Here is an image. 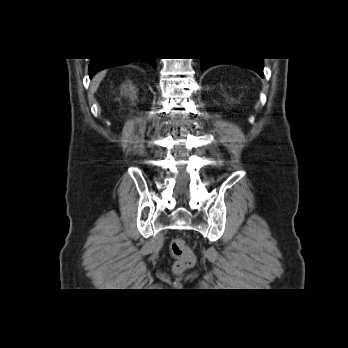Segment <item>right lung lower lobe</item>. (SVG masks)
<instances>
[{
  "label": "right lung lower lobe",
  "instance_id": "98d812e1",
  "mask_svg": "<svg viewBox=\"0 0 348 348\" xmlns=\"http://www.w3.org/2000/svg\"><path fill=\"white\" fill-rule=\"evenodd\" d=\"M146 60L151 66L156 68V59L155 58H149L144 59ZM133 60L131 59H91L89 64V75L90 78L93 77L94 74L99 72L100 70H103L105 68L118 66V65H125Z\"/></svg>",
  "mask_w": 348,
  "mask_h": 348
}]
</instances>
